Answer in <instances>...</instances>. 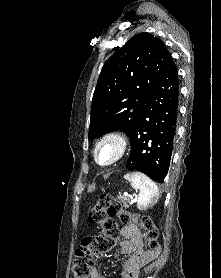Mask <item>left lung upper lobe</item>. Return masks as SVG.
Listing matches in <instances>:
<instances>
[{
    "instance_id": "5c2ea615",
    "label": "left lung upper lobe",
    "mask_w": 221,
    "mask_h": 278,
    "mask_svg": "<svg viewBox=\"0 0 221 278\" xmlns=\"http://www.w3.org/2000/svg\"><path fill=\"white\" fill-rule=\"evenodd\" d=\"M105 62L92 99L88 138L121 130L128 136L171 59L163 41L139 33Z\"/></svg>"
}]
</instances>
